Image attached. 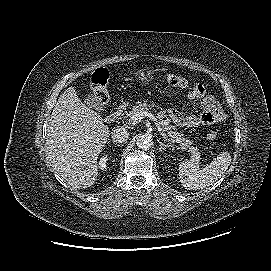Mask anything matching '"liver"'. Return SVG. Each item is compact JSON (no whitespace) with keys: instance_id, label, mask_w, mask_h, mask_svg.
Here are the masks:
<instances>
[{"instance_id":"obj_1","label":"liver","mask_w":271,"mask_h":271,"mask_svg":"<svg viewBox=\"0 0 271 271\" xmlns=\"http://www.w3.org/2000/svg\"><path fill=\"white\" fill-rule=\"evenodd\" d=\"M109 127L67 88L53 109L47 134L48 157L54 170L77 189L92 186L97 160L108 141Z\"/></svg>"}]
</instances>
